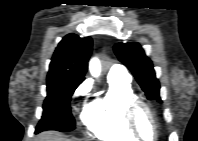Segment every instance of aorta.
I'll return each instance as SVG.
<instances>
[{
  "mask_svg": "<svg viewBox=\"0 0 198 141\" xmlns=\"http://www.w3.org/2000/svg\"><path fill=\"white\" fill-rule=\"evenodd\" d=\"M89 72L93 77H98L101 73V62L97 57H93L89 62Z\"/></svg>",
  "mask_w": 198,
  "mask_h": 141,
  "instance_id": "obj_1",
  "label": "aorta"
}]
</instances>
